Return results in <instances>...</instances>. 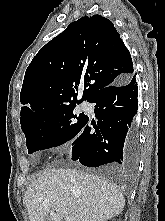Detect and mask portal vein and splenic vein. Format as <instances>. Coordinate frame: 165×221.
Returning a JSON list of instances; mask_svg holds the SVG:
<instances>
[{
	"label": "portal vein and splenic vein",
	"instance_id": "1",
	"mask_svg": "<svg viewBox=\"0 0 165 221\" xmlns=\"http://www.w3.org/2000/svg\"><path fill=\"white\" fill-rule=\"evenodd\" d=\"M50 217L53 218V219H55V218H57V214H56L54 211H51V212H50ZM66 221H74V219H73V218H70V217H67V218H66Z\"/></svg>",
	"mask_w": 165,
	"mask_h": 221
}]
</instances>
